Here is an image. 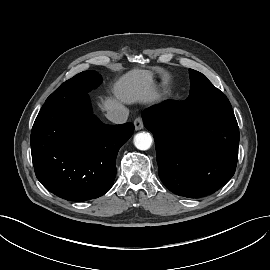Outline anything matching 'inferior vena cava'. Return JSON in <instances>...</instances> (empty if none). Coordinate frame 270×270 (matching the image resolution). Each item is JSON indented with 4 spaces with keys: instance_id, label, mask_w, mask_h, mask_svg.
<instances>
[{
    "instance_id": "602c4592",
    "label": "inferior vena cava",
    "mask_w": 270,
    "mask_h": 270,
    "mask_svg": "<svg viewBox=\"0 0 270 270\" xmlns=\"http://www.w3.org/2000/svg\"><path fill=\"white\" fill-rule=\"evenodd\" d=\"M129 110L124 106H118L107 112L108 120L115 124H123L127 121Z\"/></svg>"
}]
</instances>
